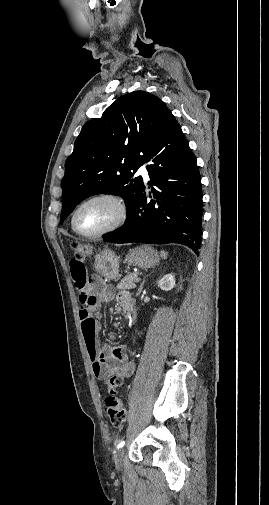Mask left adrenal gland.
Returning <instances> with one entry per match:
<instances>
[{
	"label": "left adrenal gland",
	"instance_id": "obj_1",
	"mask_svg": "<svg viewBox=\"0 0 269 505\" xmlns=\"http://www.w3.org/2000/svg\"><path fill=\"white\" fill-rule=\"evenodd\" d=\"M144 283H145V280H143V281H142V283L140 284V286H139V288H138V292H137L136 296H138V295L142 292V289H143Z\"/></svg>",
	"mask_w": 269,
	"mask_h": 505
}]
</instances>
